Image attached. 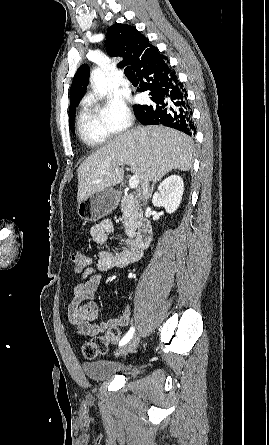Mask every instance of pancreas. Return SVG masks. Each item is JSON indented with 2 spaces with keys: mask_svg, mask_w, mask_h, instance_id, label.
<instances>
[{
  "mask_svg": "<svg viewBox=\"0 0 269 445\" xmlns=\"http://www.w3.org/2000/svg\"><path fill=\"white\" fill-rule=\"evenodd\" d=\"M121 212L126 234L133 238L142 218L139 202L133 195H125L121 201Z\"/></svg>",
  "mask_w": 269,
  "mask_h": 445,
  "instance_id": "cf45deb5",
  "label": "pancreas"
}]
</instances>
